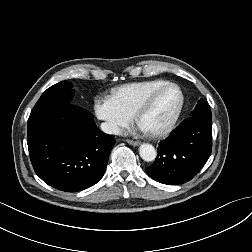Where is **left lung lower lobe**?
Wrapping results in <instances>:
<instances>
[{"instance_id": "left-lung-lower-lobe-1", "label": "left lung lower lobe", "mask_w": 252, "mask_h": 252, "mask_svg": "<svg viewBox=\"0 0 252 252\" xmlns=\"http://www.w3.org/2000/svg\"><path fill=\"white\" fill-rule=\"evenodd\" d=\"M211 150L212 117L193 116L159 143L156 160L145 170L160 183L182 184L203 168Z\"/></svg>"}]
</instances>
